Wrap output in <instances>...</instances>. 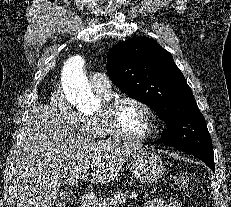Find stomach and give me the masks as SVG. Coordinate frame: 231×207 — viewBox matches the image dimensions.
<instances>
[{
  "label": "stomach",
  "instance_id": "1",
  "mask_svg": "<svg viewBox=\"0 0 231 207\" xmlns=\"http://www.w3.org/2000/svg\"><path fill=\"white\" fill-rule=\"evenodd\" d=\"M130 160L131 172L140 183L157 182L164 174L165 165L155 153L147 150L136 151Z\"/></svg>",
  "mask_w": 231,
  "mask_h": 207
}]
</instances>
